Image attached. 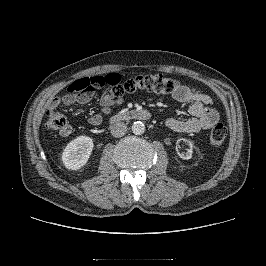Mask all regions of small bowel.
Masks as SVG:
<instances>
[{"label": "small bowel", "instance_id": "obj_1", "mask_svg": "<svg viewBox=\"0 0 266 266\" xmlns=\"http://www.w3.org/2000/svg\"><path fill=\"white\" fill-rule=\"evenodd\" d=\"M93 98V93L65 95L54 100L56 105L70 106L75 103L86 104ZM173 98L180 103H188L190 117L179 120L169 118L166 125L173 131L184 133H196L208 130L219 120V113L212 107V99L209 95L195 87L179 85L173 93ZM121 99L114 96L110 91L102 93L99 99L101 113H96L89 118V123L98 126L103 121V115L109 114L113 107L120 103Z\"/></svg>", "mask_w": 266, "mask_h": 266}]
</instances>
